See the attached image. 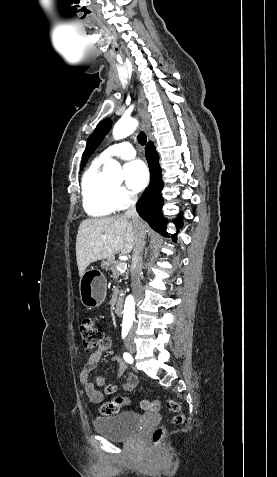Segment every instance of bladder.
Listing matches in <instances>:
<instances>
[{"instance_id":"1","label":"bladder","mask_w":277,"mask_h":477,"mask_svg":"<svg viewBox=\"0 0 277 477\" xmlns=\"http://www.w3.org/2000/svg\"><path fill=\"white\" fill-rule=\"evenodd\" d=\"M142 423L140 414L133 411L106 414L94 420L95 431L113 441H124L134 436Z\"/></svg>"}]
</instances>
